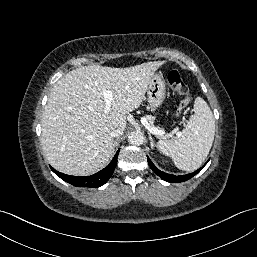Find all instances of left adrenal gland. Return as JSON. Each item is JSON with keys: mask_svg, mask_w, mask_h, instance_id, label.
<instances>
[{"mask_svg": "<svg viewBox=\"0 0 257 257\" xmlns=\"http://www.w3.org/2000/svg\"><path fill=\"white\" fill-rule=\"evenodd\" d=\"M148 134H149V140H150L151 148H152V149H154L155 144H154L153 138H152V136H151V134H150V133H148Z\"/></svg>", "mask_w": 257, "mask_h": 257, "instance_id": "1", "label": "left adrenal gland"}]
</instances>
